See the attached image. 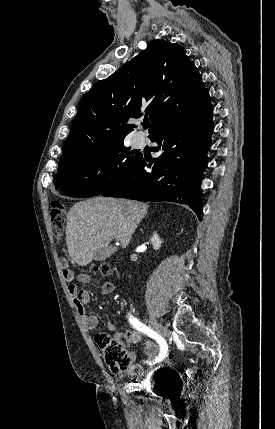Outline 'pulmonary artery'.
<instances>
[{"mask_svg": "<svg viewBox=\"0 0 275 429\" xmlns=\"http://www.w3.org/2000/svg\"><path fill=\"white\" fill-rule=\"evenodd\" d=\"M143 140H144L143 136L138 135L134 138V143L135 145H141L143 143Z\"/></svg>", "mask_w": 275, "mask_h": 429, "instance_id": "pulmonary-artery-1", "label": "pulmonary artery"}]
</instances>
